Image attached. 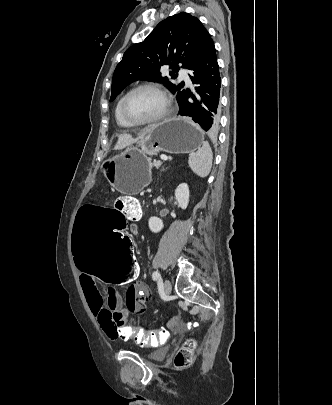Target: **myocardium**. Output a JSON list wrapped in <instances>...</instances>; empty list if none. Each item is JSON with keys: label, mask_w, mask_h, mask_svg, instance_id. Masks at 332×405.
<instances>
[{"label": "myocardium", "mask_w": 332, "mask_h": 405, "mask_svg": "<svg viewBox=\"0 0 332 405\" xmlns=\"http://www.w3.org/2000/svg\"><path fill=\"white\" fill-rule=\"evenodd\" d=\"M141 89H152V90L158 92V93L162 96V98H163V100H164V103H165V106H164L163 111H162L159 115H157V116H155V117H153V118H151V119H147V120H133V119H131V118L128 116V114L126 113L125 104H126L127 99H128L134 92H136V91H138V90H141ZM119 109H120V115H121V117H122L127 123L131 124L132 126H142V125L155 124V123H158V122L164 120L165 118H167V117L170 115L171 110H172V102H171V99H170L168 93L166 92V90H165L162 86H160L159 84H156V83H150V82H148V83L139 84V85L133 87L132 89H130V90L121 98V101H120V108H119Z\"/></svg>", "instance_id": "myocardium-1"}]
</instances>
